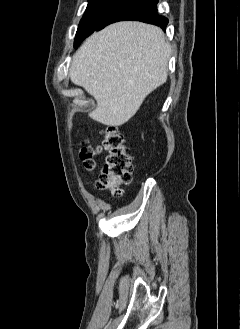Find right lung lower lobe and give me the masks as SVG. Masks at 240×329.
Wrapping results in <instances>:
<instances>
[{
  "label": "right lung lower lobe",
  "instance_id": "right-lung-lower-lobe-1",
  "mask_svg": "<svg viewBox=\"0 0 240 329\" xmlns=\"http://www.w3.org/2000/svg\"><path fill=\"white\" fill-rule=\"evenodd\" d=\"M158 0H120L99 22L94 31L123 20L142 21L166 29L168 19L157 15Z\"/></svg>",
  "mask_w": 240,
  "mask_h": 329
}]
</instances>
